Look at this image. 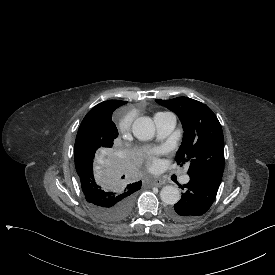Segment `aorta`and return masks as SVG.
I'll use <instances>...</instances> for the list:
<instances>
[{
    "instance_id": "1",
    "label": "aorta",
    "mask_w": 275,
    "mask_h": 275,
    "mask_svg": "<svg viewBox=\"0 0 275 275\" xmlns=\"http://www.w3.org/2000/svg\"><path fill=\"white\" fill-rule=\"evenodd\" d=\"M133 134L141 140H152L156 134V127L153 120L150 117H139L133 123ZM161 200L167 205L176 204L180 198L181 193L178 188L169 185L165 186L160 192Z\"/></svg>"
}]
</instances>
